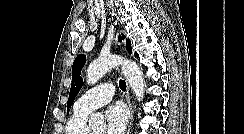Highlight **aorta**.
I'll list each match as a JSON object with an SVG mask.
<instances>
[{
  "label": "aorta",
  "mask_w": 244,
  "mask_h": 134,
  "mask_svg": "<svg viewBox=\"0 0 244 134\" xmlns=\"http://www.w3.org/2000/svg\"><path fill=\"white\" fill-rule=\"evenodd\" d=\"M118 65H121L122 73L137 99L142 100L145 82L140 67L135 62L123 59L119 56L109 55L94 60L87 69V83H97L109 70ZM89 121L92 124L102 123L104 117L101 113H93Z\"/></svg>",
  "instance_id": "obj_1"
}]
</instances>
